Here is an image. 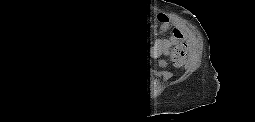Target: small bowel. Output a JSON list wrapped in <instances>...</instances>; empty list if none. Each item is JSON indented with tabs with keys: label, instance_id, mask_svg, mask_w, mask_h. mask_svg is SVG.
<instances>
[{
	"label": "small bowel",
	"instance_id": "obj_1",
	"mask_svg": "<svg viewBox=\"0 0 255 122\" xmlns=\"http://www.w3.org/2000/svg\"><path fill=\"white\" fill-rule=\"evenodd\" d=\"M180 39H182L181 34H180ZM166 46H167V42L162 41V42L158 43L155 47H153L152 51L155 54L162 53L165 50Z\"/></svg>",
	"mask_w": 255,
	"mask_h": 122
}]
</instances>
